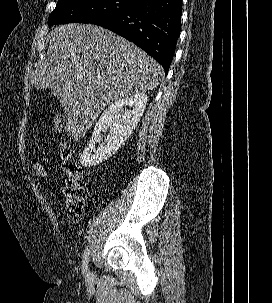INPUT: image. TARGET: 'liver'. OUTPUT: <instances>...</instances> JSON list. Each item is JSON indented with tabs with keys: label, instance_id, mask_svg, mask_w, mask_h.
<instances>
[{
	"label": "liver",
	"instance_id": "liver-1",
	"mask_svg": "<svg viewBox=\"0 0 272 303\" xmlns=\"http://www.w3.org/2000/svg\"><path fill=\"white\" fill-rule=\"evenodd\" d=\"M48 39L33 83L53 89L64 109L65 131L75 141L85 136L105 106L153 90L164 74L142 49L103 27L60 25Z\"/></svg>",
	"mask_w": 272,
	"mask_h": 303
}]
</instances>
